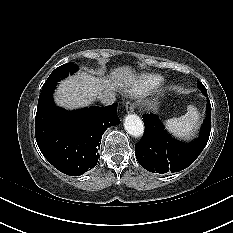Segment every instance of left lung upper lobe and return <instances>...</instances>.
<instances>
[{"label":"left lung upper lobe","mask_w":233,"mask_h":233,"mask_svg":"<svg viewBox=\"0 0 233 233\" xmlns=\"http://www.w3.org/2000/svg\"><path fill=\"white\" fill-rule=\"evenodd\" d=\"M197 88L200 89V90H203L205 87L201 82L198 81Z\"/></svg>","instance_id":"obj_1"}]
</instances>
